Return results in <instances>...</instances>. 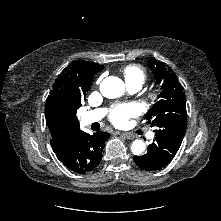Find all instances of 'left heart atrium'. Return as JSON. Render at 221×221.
<instances>
[{
	"label": "left heart atrium",
	"instance_id": "obj_1",
	"mask_svg": "<svg viewBox=\"0 0 221 221\" xmlns=\"http://www.w3.org/2000/svg\"><path fill=\"white\" fill-rule=\"evenodd\" d=\"M139 112L136 104H128L117 107L111 114L110 119L116 126H124L130 117Z\"/></svg>",
	"mask_w": 221,
	"mask_h": 221
}]
</instances>
